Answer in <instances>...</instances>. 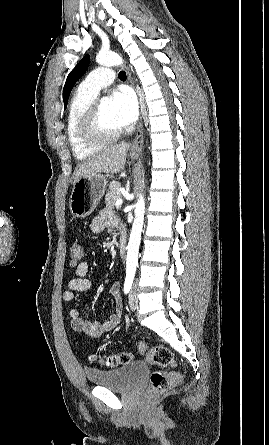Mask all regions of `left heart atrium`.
I'll use <instances>...</instances> for the list:
<instances>
[{"label": "left heart atrium", "instance_id": "1", "mask_svg": "<svg viewBox=\"0 0 269 445\" xmlns=\"http://www.w3.org/2000/svg\"><path fill=\"white\" fill-rule=\"evenodd\" d=\"M113 116L121 128L131 126L138 116L137 100L127 88L113 92L110 100Z\"/></svg>", "mask_w": 269, "mask_h": 445}]
</instances>
